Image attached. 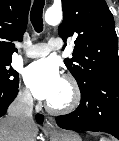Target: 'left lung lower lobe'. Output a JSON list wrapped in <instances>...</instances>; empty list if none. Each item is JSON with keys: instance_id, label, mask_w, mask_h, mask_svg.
I'll return each instance as SVG.
<instances>
[{"instance_id": "obj_1", "label": "left lung lower lobe", "mask_w": 119, "mask_h": 141, "mask_svg": "<svg viewBox=\"0 0 119 141\" xmlns=\"http://www.w3.org/2000/svg\"><path fill=\"white\" fill-rule=\"evenodd\" d=\"M56 122L63 129L101 131L119 139V78L96 81L81 92L79 107Z\"/></svg>"}]
</instances>
